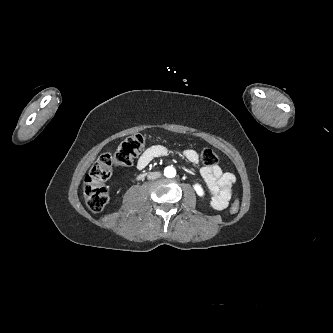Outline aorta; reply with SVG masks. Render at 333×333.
I'll list each match as a JSON object with an SVG mask.
<instances>
[{"instance_id": "762f6f07", "label": "aorta", "mask_w": 333, "mask_h": 333, "mask_svg": "<svg viewBox=\"0 0 333 333\" xmlns=\"http://www.w3.org/2000/svg\"><path fill=\"white\" fill-rule=\"evenodd\" d=\"M164 175L168 178L175 177V175H176L175 168L172 167V166L166 167L165 170H164Z\"/></svg>"}]
</instances>
